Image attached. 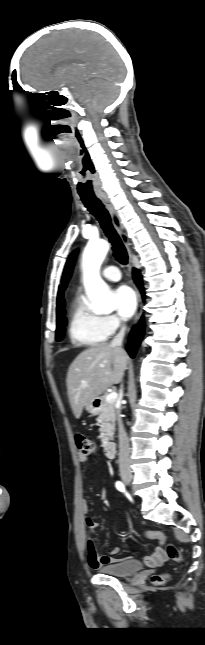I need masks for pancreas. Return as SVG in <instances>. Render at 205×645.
<instances>
[{"label": "pancreas", "mask_w": 205, "mask_h": 645, "mask_svg": "<svg viewBox=\"0 0 205 645\" xmlns=\"http://www.w3.org/2000/svg\"><path fill=\"white\" fill-rule=\"evenodd\" d=\"M100 423V439L103 444L113 440L115 430V403L108 402L106 396L101 402L100 414L97 418Z\"/></svg>", "instance_id": "cf45deb5"}]
</instances>
